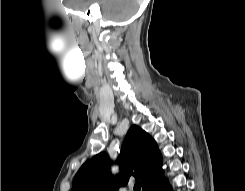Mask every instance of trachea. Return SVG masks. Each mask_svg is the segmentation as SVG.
Masks as SVG:
<instances>
[{
	"instance_id": "trachea-1",
	"label": "trachea",
	"mask_w": 245,
	"mask_h": 191,
	"mask_svg": "<svg viewBox=\"0 0 245 191\" xmlns=\"http://www.w3.org/2000/svg\"><path fill=\"white\" fill-rule=\"evenodd\" d=\"M134 190H135V191H140V190H141L140 182H138V183L135 184Z\"/></svg>"
}]
</instances>
